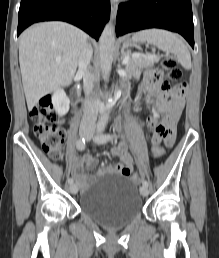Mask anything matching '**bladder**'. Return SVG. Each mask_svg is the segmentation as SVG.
Returning <instances> with one entry per match:
<instances>
[{
	"instance_id": "bladder-1",
	"label": "bladder",
	"mask_w": 219,
	"mask_h": 258,
	"mask_svg": "<svg viewBox=\"0 0 219 258\" xmlns=\"http://www.w3.org/2000/svg\"><path fill=\"white\" fill-rule=\"evenodd\" d=\"M144 207L136 187L124 175L106 172L79 197L80 210L107 227L131 223Z\"/></svg>"
}]
</instances>
